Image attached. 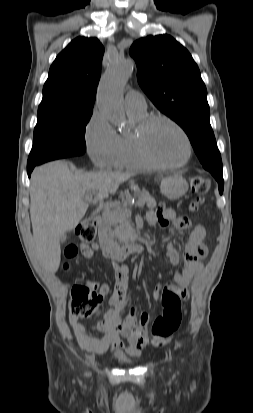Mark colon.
Instances as JSON below:
<instances>
[{
  "mask_svg": "<svg viewBox=\"0 0 253 413\" xmlns=\"http://www.w3.org/2000/svg\"><path fill=\"white\" fill-rule=\"evenodd\" d=\"M192 192L198 195V198L192 202L190 209L197 211L203 203V196L209 190V182L203 177H194L191 180ZM97 233L96 222L93 218L84 219L77 227V235L81 245L91 243ZM78 252L76 245H69L65 249V255L68 258L74 257ZM105 293L102 292L96 284H78L71 290V299L69 302V313L78 318H87L101 304ZM162 313L154 320L152 325V338L158 342H164L180 327L182 321V303L180 295L174 287L168 284L161 296Z\"/></svg>",
  "mask_w": 253,
  "mask_h": 413,
  "instance_id": "5ec220e1",
  "label": "colon"
}]
</instances>
